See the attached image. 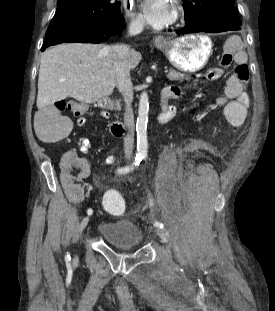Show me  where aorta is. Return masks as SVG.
<instances>
[{"instance_id":"1","label":"aorta","mask_w":275,"mask_h":311,"mask_svg":"<svg viewBox=\"0 0 275 311\" xmlns=\"http://www.w3.org/2000/svg\"><path fill=\"white\" fill-rule=\"evenodd\" d=\"M149 100L148 94L142 92L139 100L138 117L136 123L137 149L139 153L147 151V122H148Z\"/></svg>"}]
</instances>
